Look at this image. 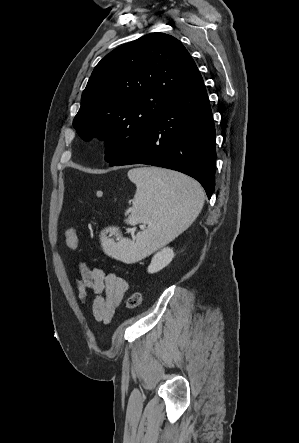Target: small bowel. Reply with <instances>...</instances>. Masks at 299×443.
<instances>
[{
    "label": "small bowel",
    "instance_id": "small-bowel-1",
    "mask_svg": "<svg viewBox=\"0 0 299 443\" xmlns=\"http://www.w3.org/2000/svg\"><path fill=\"white\" fill-rule=\"evenodd\" d=\"M79 270L81 274L77 280L79 298L85 303L88 292H91L94 296L92 301L94 318L109 324L128 289L127 282L114 272H105L100 267H89L84 262H80Z\"/></svg>",
    "mask_w": 299,
    "mask_h": 443
}]
</instances>
